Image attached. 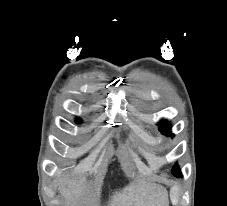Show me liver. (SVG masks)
I'll list each match as a JSON object with an SVG mask.
<instances>
[{
  "label": "liver",
  "mask_w": 227,
  "mask_h": 206,
  "mask_svg": "<svg viewBox=\"0 0 227 206\" xmlns=\"http://www.w3.org/2000/svg\"><path fill=\"white\" fill-rule=\"evenodd\" d=\"M58 189L65 198L67 206H96L92 202L84 181H60ZM167 198L165 188L155 183L142 181L116 192L108 202V206H165Z\"/></svg>",
  "instance_id": "obj_1"
}]
</instances>
